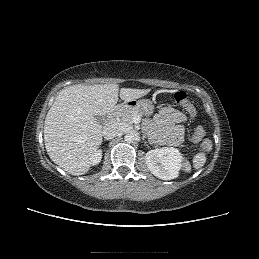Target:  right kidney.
<instances>
[{"instance_id": "right-kidney-1", "label": "right kidney", "mask_w": 259, "mask_h": 259, "mask_svg": "<svg viewBox=\"0 0 259 259\" xmlns=\"http://www.w3.org/2000/svg\"><path fill=\"white\" fill-rule=\"evenodd\" d=\"M101 158H102V151H101V150H97V151L92 155L91 164H92V165H97V164L101 161Z\"/></svg>"}]
</instances>
